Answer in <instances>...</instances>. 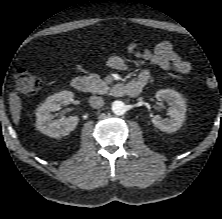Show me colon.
Returning <instances> with one entry per match:
<instances>
[{
    "instance_id": "1",
    "label": "colon",
    "mask_w": 222,
    "mask_h": 219,
    "mask_svg": "<svg viewBox=\"0 0 222 219\" xmlns=\"http://www.w3.org/2000/svg\"><path fill=\"white\" fill-rule=\"evenodd\" d=\"M15 86L16 89L22 93H34L40 90L43 86L42 80L31 74L25 68H19L15 72ZM218 84V80L214 76H208L206 78V86L208 88H214Z\"/></svg>"
}]
</instances>
